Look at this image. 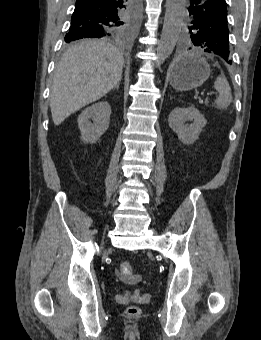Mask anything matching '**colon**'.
Returning a JSON list of instances; mask_svg holds the SVG:
<instances>
[{
	"mask_svg": "<svg viewBox=\"0 0 261 340\" xmlns=\"http://www.w3.org/2000/svg\"><path fill=\"white\" fill-rule=\"evenodd\" d=\"M117 273L121 278H130L133 273V268L130 262L123 261L119 264L117 268ZM127 313L130 315H137L140 313V309L137 306H130L127 309Z\"/></svg>",
	"mask_w": 261,
	"mask_h": 340,
	"instance_id": "colon-1",
	"label": "colon"
}]
</instances>
